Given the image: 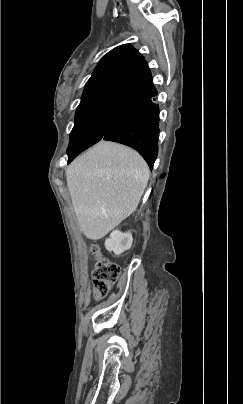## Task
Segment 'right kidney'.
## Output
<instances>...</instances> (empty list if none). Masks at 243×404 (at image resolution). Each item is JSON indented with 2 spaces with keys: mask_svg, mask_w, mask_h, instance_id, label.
<instances>
[{
  "mask_svg": "<svg viewBox=\"0 0 243 404\" xmlns=\"http://www.w3.org/2000/svg\"><path fill=\"white\" fill-rule=\"evenodd\" d=\"M133 238L130 232H119L114 230L111 232L110 238L105 240V248L108 252H114L115 256H120L125 250H130L132 246Z\"/></svg>",
  "mask_w": 243,
  "mask_h": 404,
  "instance_id": "ca27d5eb",
  "label": "right kidney"
}]
</instances>
